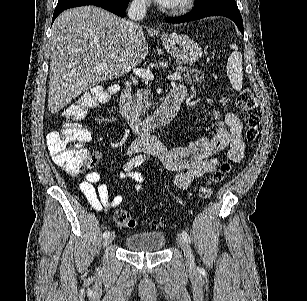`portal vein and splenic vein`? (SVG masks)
I'll list each match as a JSON object with an SVG mask.
<instances>
[{
  "label": "portal vein and splenic vein",
  "instance_id": "18ae733b",
  "mask_svg": "<svg viewBox=\"0 0 307 301\" xmlns=\"http://www.w3.org/2000/svg\"><path fill=\"white\" fill-rule=\"evenodd\" d=\"M100 66H105V62H101ZM133 72H135L136 76H140V78H145V80H153L154 74L151 70H147V68H133ZM170 80H178L180 78V74H171V76H167Z\"/></svg>",
  "mask_w": 307,
  "mask_h": 301
}]
</instances>
